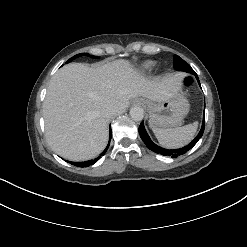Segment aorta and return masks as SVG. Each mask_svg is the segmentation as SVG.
<instances>
[{
    "label": "aorta",
    "mask_w": 247,
    "mask_h": 247,
    "mask_svg": "<svg viewBox=\"0 0 247 247\" xmlns=\"http://www.w3.org/2000/svg\"><path fill=\"white\" fill-rule=\"evenodd\" d=\"M130 116L135 121H141L144 117V110L139 106H134L130 109Z\"/></svg>",
    "instance_id": "obj_1"
}]
</instances>
